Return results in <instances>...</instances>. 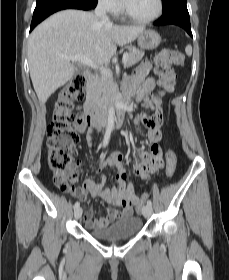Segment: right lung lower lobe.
Listing matches in <instances>:
<instances>
[{"label":"right lung lower lobe","instance_id":"98d812e1","mask_svg":"<svg viewBox=\"0 0 229 280\" xmlns=\"http://www.w3.org/2000/svg\"><path fill=\"white\" fill-rule=\"evenodd\" d=\"M97 0H37L30 31L49 15L64 9L90 10L95 8Z\"/></svg>","mask_w":229,"mask_h":280}]
</instances>
